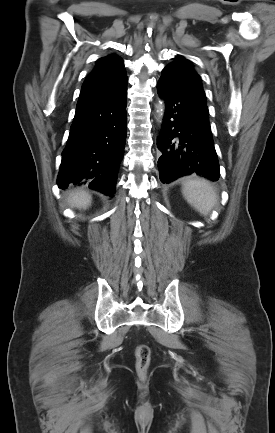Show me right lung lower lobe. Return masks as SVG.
Listing matches in <instances>:
<instances>
[{"instance_id":"obj_1","label":"right lung lower lobe","mask_w":275,"mask_h":433,"mask_svg":"<svg viewBox=\"0 0 275 433\" xmlns=\"http://www.w3.org/2000/svg\"><path fill=\"white\" fill-rule=\"evenodd\" d=\"M127 85L79 98L57 178L113 196L126 141Z\"/></svg>"}]
</instances>
